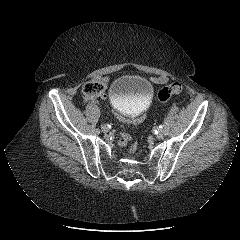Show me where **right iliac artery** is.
<instances>
[{
  "label": "right iliac artery",
  "mask_w": 240,
  "mask_h": 240,
  "mask_svg": "<svg viewBox=\"0 0 240 240\" xmlns=\"http://www.w3.org/2000/svg\"><path fill=\"white\" fill-rule=\"evenodd\" d=\"M94 131H95L96 134H99L101 130H100V128L97 127V128H95Z\"/></svg>",
  "instance_id": "82829eb1"
}]
</instances>
